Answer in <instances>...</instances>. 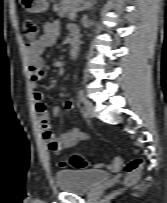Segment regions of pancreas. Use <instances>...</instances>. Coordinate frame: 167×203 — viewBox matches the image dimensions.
Returning a JSON list of instances; mask_svg holds the SVG:
<instances>
[{
    "label": "pancreas",
    "instance_id": "1",
    "mask_svg": "<svg viewBox=\"0 0 167 203\" xmlns=\"http://www.w3.org/2000/svg\"><path fill=\"white\" fill-rule=\"evenodd\" d=\"M83 0H62L60 3L53 6V10L60 17H70L71 13L76 12Z\"/></svg>",
    "mask_w": 167,
    "mask_h": 203
}]
</instances>
